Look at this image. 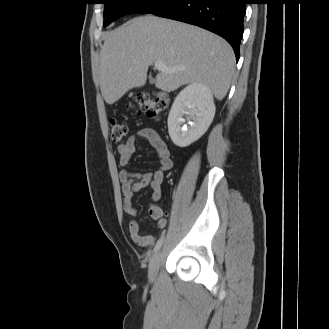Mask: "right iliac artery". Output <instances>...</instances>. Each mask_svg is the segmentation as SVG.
Segmentation results:
<instances>
[{
	"label": "right iliac artery",
	"instance_id": "right-iliac-artery-1",
	"mask_svg": "<svg viewBox=\"0 0 329 329\" xmlns=\"http://www.w3.org/2000/svg\"><path fill=\"white\" fill-rule=\"evenodd\" d=\"M163 241H164V237L162 236V237L157 241V243H156V245H155V247H154V249H153V252H154V253H156V252L160 249V247H161L162 244H163Z\"/></svg>",
	"mask_w": 329,
	"mask_h": 329
}]
</instances>
